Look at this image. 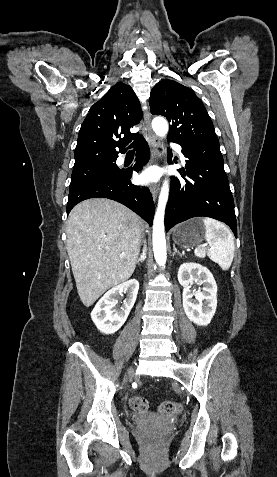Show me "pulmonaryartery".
<instances>
[{
    "mask_svg": "<svg viewBox=\"0 0 277 477\" xmlns=\"http://www.w3.org/2000/svg\"><path fill=\"white\" fill-rule=\"evenodd\" d=\"M173 147L175 148V150L181 155V157H183L182 155V148L180 145H177V144H174ZM120 161H123L122 158L119 159Z\"/></svg>",
    "mask_w": 277,
    "mask_h": 477,
    "instance_id": "e3ab8cb5",
    "label": "pulmonary artery"
}]
</instances>
